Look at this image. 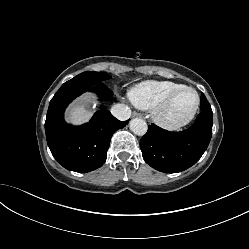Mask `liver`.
<instances>
[{"mask_svg": "<svg viewBox=\"0 0 249 249\" xmlns=\"http://www.w3.org/2000/svg\"><path fill=\"white\" fill-rule=\"evenodd\" d=\"M89 101V98H85L84 100L85 103ZM91 116L92 112H88L82 105L77 104L70 109L67 119L75 124H82L88 121Z\"/></svg>", "mask_w": 249, "mask_h": 249, "instance_id": "1", "label": "liver"}]
</instances>
